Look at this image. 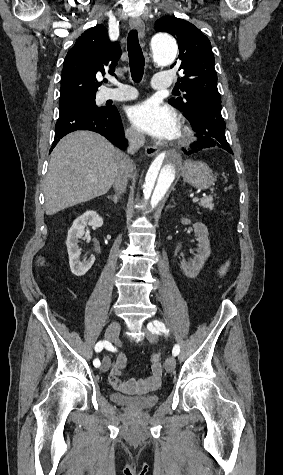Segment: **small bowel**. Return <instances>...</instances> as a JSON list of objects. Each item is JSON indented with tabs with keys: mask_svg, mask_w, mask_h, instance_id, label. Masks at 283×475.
<instances>
[{
	"mask_svg": "<svg viewBox=\"0 0 283 475\" xmlns=\"http://www.w3.org/2000/svg\"><path fill=\"white\" fill-rule=\"evenodd\" d=\"M232 264L231 258H228L217 270V275L223 277L228 272ZM127 358L124 353H119L114 362L113 366L110 369L108 374V381L110 385L117 390L125 391L127 389V384L135 385L137 383V378L135 376H130L128 381L121 380V374L123 369L126 367ZM163 375V369H152V375L148 378L147 376H140L138 378V383L140 385H147L148 383L156 386L161 382Z\"/></svg>",
	"mask_w": 283,
	"mask_h": 475,
	"instance_id": "1",
	"label": "small bowel"
}]
</instances>
